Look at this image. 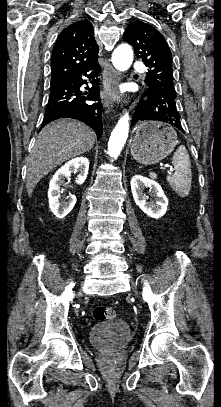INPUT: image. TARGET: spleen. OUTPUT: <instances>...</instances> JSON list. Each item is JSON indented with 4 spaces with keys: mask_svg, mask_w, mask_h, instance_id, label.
<instances>
[{
    "mask_svg": "<svg viewBox=\"0 0 221 407\" xmlns=\"http://www.w3.org/2000/svg\"><path fill=\"white\" fill-rule=\"evenodd\" d=\"M172 164L175 173L172 176H167V182L180 197H186L191 188L192 172L189 154L185 146H179L174 152Z\"/></svg>",
    "mask_w": 221,
    "mask_h": 407,
    "instance_id": "spleen-1",
    "label": "spleen"
}]
</instances>
